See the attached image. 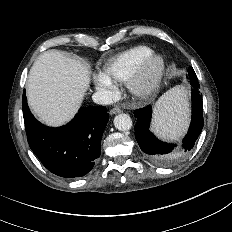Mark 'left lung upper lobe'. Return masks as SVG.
<instances>
[{"instance_id": "1", "label": "left lung upper lobe", "mask_w": 232, "mask_h": 232, "mask_svg": "<svg viewBox=\"0 0 232 232\" xmlns=\"http://www.w3.org/2000/svg\"><path fill=\"white\" fill-rule=\"evenodd\" d=\"M191 68H192V67H191ZM191 68H190V69H191ZM190 69L188 70V72H190ZM192 69H193V68H192Z\"/></svg>"}]
</instances>
